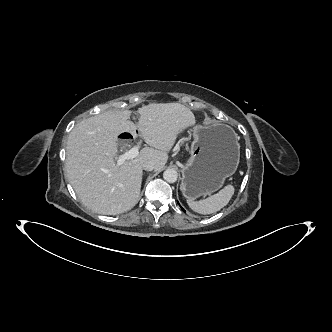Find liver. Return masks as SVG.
Listing matches in <instances>:
<instances>
[{
    "label": "liver",
    "instance_id": "obj_1",
    "mask_svg": "<svg viewBox=\"0 0 332 332\" xmlns=\"http://www.w3.org/2000/svg\"><path fill=\"white\" fill-rule=\"evenodd\" d=\"M138 113L137 125L129 120L131 111L112 110L82 120L69 134V182L81 202L99 214L116 215L135 206L140 196L143 163L153 161L160 171L178 134L196 123L193 112L180 103H152L139 108ZM136 129L150 147L118 165V136Z\"/></svg>",
    "mask_w": 332,
    "mask_h": 332
}]
</instances>
